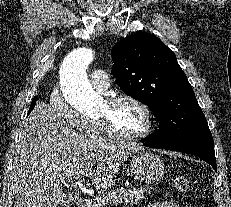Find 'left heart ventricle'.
<instances>
[{"instance_id": "left-heart-ventricle-1", "label": "left heart ventricle", "mask_w": 231, "mask_h": 207, "mask_svg": "<svg viewBox=\"0 0 231 207\" xmlns=\"http://www.w3.org/2000/svg\"><path fill=\"white\" fill-rule=\"evenodd\" d=\"M109 114L114 127L125 135H135L145 127V116L142 110L129 102H123L110 109L106 102L103 103L98 116Z\"/></svg>"}]
</instances>
